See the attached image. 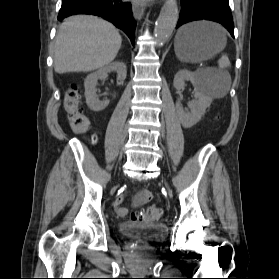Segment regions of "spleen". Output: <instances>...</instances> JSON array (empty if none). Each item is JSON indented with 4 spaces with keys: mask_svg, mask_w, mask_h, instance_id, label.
Listing matches in <instances>:
<instances>
[{
    "mask_svg": "<svg viewBox=\"0 0 279 279\" xmlns=\"http://www.w3.org/2000/svg\"><path fill=\"white\" fill-rule=\"evenodd\" d=\"M219 68L223 70L226 67L230 66V61L228 57L222 56L219 61ZM223 80L217 79L215 81L208 82L204 88V91L211 97L222 98L227 95L230 85L231 78L230 75L226 72H222Z\"/></svg>",
    "mask_w": 279,
    "mask_h": 279,
    "instance_id": "obj_1",
    "label": "spleen"
}]
</instances>
